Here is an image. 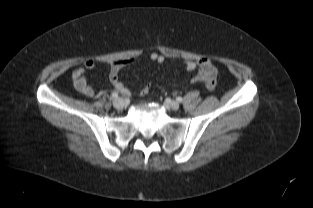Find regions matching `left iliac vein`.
I'll use <instances>...</instances> for the list:
<instances>
[{
	"instance_id": "1",
	"label": "left iliac vein",
	"mask_w": 313,
	"mask_h": 208,
	"mask_svg": "<svg viewBox=\"0 0 313 208\" xmlns=\"http://www.w3.org/2000/svg\"><path fill=\"white\" fill-rule=\"evenodd\" d=\"M165 104L168 107H170L172 110H178L179 109V103L177 101H166Z\"/></svg>"
}]
</instances>
